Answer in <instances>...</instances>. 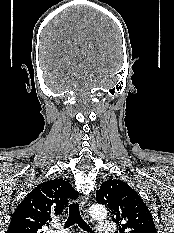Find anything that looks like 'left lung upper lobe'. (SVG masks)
Masks as SVG:
<instances>
[{
    "label": "left lung upper lobe",
    "instance_id": "obj_1",
    "mask_svg": "<svg viewBox=\"0 0 174 233\" xmlns=\"http://www.w3.org/2000/svg\"><path fill=\"white\" fill-rule=\"evenodd\" d=\"M96 201L120 224V233H157L150 211L143 200L127 183L107 180L96 193Z\"/></svg>",
    "mask_w": 174,
    "mask_h": 233
}]
</instances>
